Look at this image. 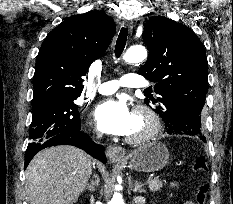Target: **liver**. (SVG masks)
Instances as JSON below:
<instances>
[{
	"instance_id": "6515ba94",
	"label": "liver",
	"mask_w": 233,
	"mask_h": 204,
	"mask_svg": "<svg viewBox=\"0 0 233 204\" xmlns=\"http://www.w3.org/2000/svg\"><path fill=\"white\" fill-rule=\"evenodd\" d=\"M91 173V158L81 149L61 145L40 151L25 172L30 204L76 203Z\"/></svg>"
}]
</instances>
